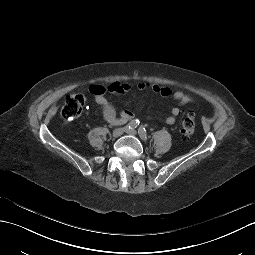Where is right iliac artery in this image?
Segmentation results:
<instances>
[{"label":"right iliac artery","mask_w":255,"mask_h":255,"mask_svg":"<svg viewBox=\"0 0 255 255\" xmlns=\"http://www.w3.org/2000/svg\"><path fill=\"white\" fill-rule=\"evenodd\" d=\"M139 120L138 119H134L132 120L131 122L128 123V125L126 126V128H129V129H134L136 128L138 125H139Z\"/></svg>","instance_id":"obj_1"}]
</instances>
